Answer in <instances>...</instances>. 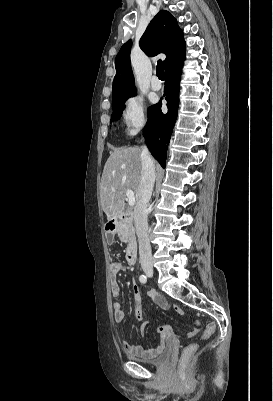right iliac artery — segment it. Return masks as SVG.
<instances>
[{"instance_id":"right-iliac-artery-1","label":"right iliac artery","mask_w":273,"mask_h":401,"mask_svg":"<svg viewBox=\"0 0 273 401\" xmlns=\"http://www.w3.org/2000/svg\"><path fill=\"white\" fill-rule=\"evenodd\" d=\"M139 280H140L141 283H146L147 282V277L145 275H141L139 277Z\"/></svg>"}]
</instances>
